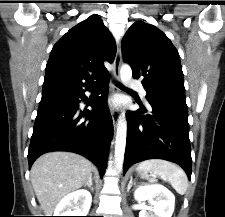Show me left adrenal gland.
Returning a JSON list of instances; mask_svg holds the SVG:
<instances>
[{"mask_svg":"<svg viewBox=\"0 0 225 217\" xmlns=\"http://www.w3.org/2000/svg\"><path fill=\"white\" fill-rule=\"evenodd\" d=\"M132 185H133V177L131 176L130 177V181H129L128 186H127V191L128 192H129L130 188L132 187Z\"/></svg>","mask_w":225,"mask_h":217,"instance_id":"a2214340","label":"left adrenal gland"}]
</instances>
